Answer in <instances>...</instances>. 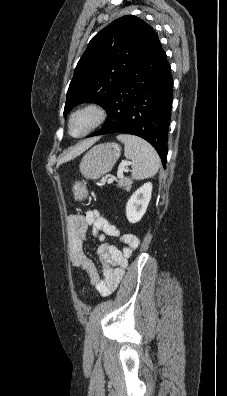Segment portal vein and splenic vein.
<instances>
[{
	"label": "portal vein and splenic vein",
	"instance_id": "18ae733b",
	"mask_svg": "<svg viewBox=\"0 0 227 396\" xmlns=\"http://www.w3.org/2000/svg\"><path fill=\"white\" fill-rule=\"evenodd\" d=\"M129 164H130L129 162H126V163L122 164V165L119 167V169H118V171H117V177H118V178H123L124 167L127 166V165H129ZM109 182H113V179L110 178V179H109Z\"/></svg>",
	"mask_w": 227,
	"mask_h": 396
}]
</instances>
